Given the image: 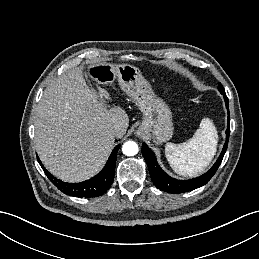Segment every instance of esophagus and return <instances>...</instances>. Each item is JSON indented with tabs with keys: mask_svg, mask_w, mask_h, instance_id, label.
<instances>
[{
	"mask_svg": "<svg viewBox=\"0 0 259 259\" xmlns=\"http://www.w3.org/2000/svg\"><path fill=\"white\" fill-rule=\"evenodd\" d=\"M144 135L143 131H137V136L142 137Z\"/></svg>",
	"mask_w": 259,
	"mask_h": 259,
	"instance_id": "obj_1",
	"label": "esophagus"
}]
</instances>
